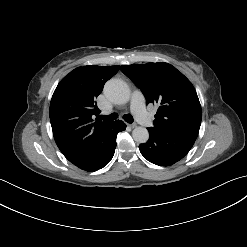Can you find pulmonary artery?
<instances>
[{"label":"pulmonary artery","mask_w":247,"mask_h":247,"mask_svg":"<svg viewBox=\"0 0 247 247\" xmlns=\"http://www.w3.org/2000/svg\"><path fill=\"white\" fill-rule=\"evenodd\" d=\"M130 109L137 121L144 127L150 128L154 125L151 115L145 110L144 96L135 91L131 97Z\"/></svg>","instance_id":"pulmonary-artery-1"}]
</instances>
